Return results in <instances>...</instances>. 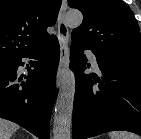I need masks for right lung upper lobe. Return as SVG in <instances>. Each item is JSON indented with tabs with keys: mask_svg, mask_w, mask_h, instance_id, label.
Wrapping results in <instances>:
<instances>
[{
	"mask_svg": "<svg viewBox=\"0 0 141 139\" xmlns=\"http://www.w3.org/2000/svg\"><path fill=\"white\" fill-rule=\"evenodd\" d=\"M62 0H0V59H10L50 42Z\"/></svg>",
	"mask_w": 141,
	"mask_h": 139,
	"instance_id": "obj_1",
	"label": "right lung upper lobe"
}]
</instances>
